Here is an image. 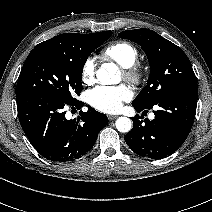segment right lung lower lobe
<instances>
[{"label": "right lung lower lobe", "instance_id": "98d812e1", "mask_svg": "<svg viewBox=\"0 0 212 212\" xmlns=\"http://www.w3.org/2000/svg\"><path fill=\"white\" fill-rule=\"evenodd\" d=\"M21 127L33 147L48 160L69 162L93 147L98 133L108 123L105 114L89 107L78 119L67 120L64 107L80 109L81 101L67 102L46 93L16 95Z\"/></svg>", "mask_w": 212, "mask_h": 212}]
</instances>
